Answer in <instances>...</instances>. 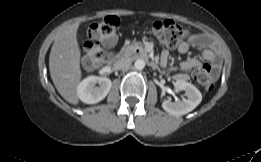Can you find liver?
<instances>
[{
	"label": "liver",
	"instance_id": "liver-1",
	"mask_svg": "<svg viewBox=\"0 0 261 162\" xmlns=\"http://www.w3.org/2000/svg\"><path fill=\"white\" fill-rule=\"evenodd\" d=\"M79 24L74 23L60 32L49 56L51 79L59 94L70 104H78L77 87L82 77L81 52L77 41Z\"/></svg>",
	"mask_w": 261,
	"mask_h": 162
}]
</instances>
